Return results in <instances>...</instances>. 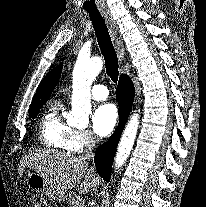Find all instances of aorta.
<instances>
[{"label":"aorta","mask_w":206,"mask_h":207,"mask_svg":"<svg viewBox=\"0 0 206 207\" xmlns=\"http://www.w3.org/2000/svg\"><path fill=\"white\" fill-rule=\"evenodd\" d=\"M102 67L103 62L100 57H78L73 70L72 108L67 119L70 125L83 127L88 124L91 113L90 87ZM138 124L139 115L135 113L128 121L120 139L115 157L116 169L122 167L130 155L137 135Z\"/></svg>","instance_id":"762f6f07"}]
</instances>
